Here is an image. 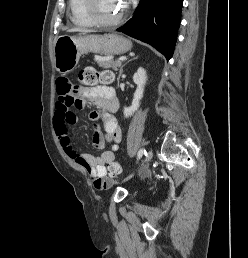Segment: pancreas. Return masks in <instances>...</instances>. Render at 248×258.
I'll list each match as a JSON object with an SVG mask.
<instances>
[{"label":"pancreas","instance_id":"1","mask_svg":"<svg viewBox=\"0 0 248 258\" xmlns=\"http://www.w3.org/2000/svg\"><path fill=\"white\" fill-rule=\"evenodd\" d=\"M94 60L99 65V67L112 68L115 71L118 70V68L121 67V65H122V61L108 60V59H103V58L97 57V56H95Z\"/></svg>","mask_w":248,"mask_h":258}]
</instances>
